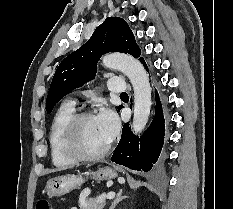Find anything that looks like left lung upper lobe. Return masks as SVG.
I'll list each match as a JSON object with an SVG mask.
<instances>
[{
    "label": "left lung upper lobe",
    "mask_w": 233,
    "mask_h": 209,
    "mask_svg": "<svg viewBox=\"0 0 233 209\" xmlns=\"http://www.w3.org/2000/svg\"><path fill=\"white\" fill-rule=\"evenodd\" d=\"M108 52L128 53L135 58L140 57V49L134 35L122 18H106L104 23L95 29L87 43L59 64L46 100L48 114L67 92L82 86L95 76L98 60Z\"/></svg>",
    "instance_id": "left-lung-upper-lobe-1"
}]
</instances>
